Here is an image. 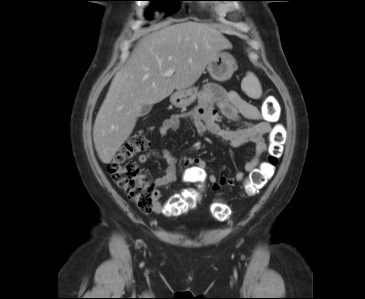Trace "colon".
<instances>
[{"label": "colon", "mask_w": 365, "mask_h": 299, "mask_svg": "<svg viewBox=\"0 0 365 299\" xmlns=\"http://www.w3.org/2000/svg\"><path fill=\"white\" fill-rule=\"evenodd\" d=\"M276 113L273 102H267L263 117L272 119ZM285 131L279 126L270 135L269 151L262 167L252 172L243 185L244 194L255 195L273 176L283 152ZM149 148V140L144 130H136L125 144L117 151L113 160L108 165V173L128 196V198L143 212H151L156 206V187L132 157ZM199 189L189 188L180 195L172 197L166 204L167 215H180L192 210L200 201ZM211 215L217 220L229 217V208L222 202H215L211 206Z\"/></svg>", "instance_id": "colon-1"}]
</instances>
